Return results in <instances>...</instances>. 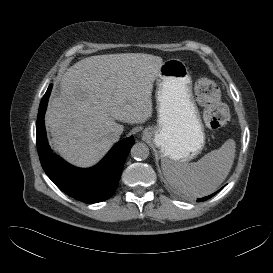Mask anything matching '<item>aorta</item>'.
<instances>
[{"label":"aorta","mask_w":273,"mask_h":273,"mask_svg":"<svg viewBox=\"0 0 273 273\" xmlns=\"http://www.w3.org/2000/svg\"><path fill=\"white\" fill-rule=\"evenodd\" d=\"M130 153L136 160H145L149 156V148L145 143H135L132 146Z\"/></svg>","instance_id":"aorta-1"}]
</instances>
